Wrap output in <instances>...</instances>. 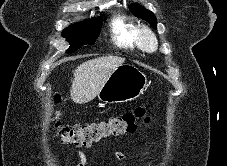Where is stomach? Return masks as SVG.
I'll return each instance as SVG.
<instances>
[{"mask_svg":"<svg viewBox=\"0 0 227 166\" xmlns=\"http://www.w3.org/2000/svg\"><path fill=\"white\" fill-rule=\"evenodd\" d=\"M147 86V77L139 68L122 64L113 71L97 97L106 104L128 102L140 97Z\"/></svg>","mask_w":227,"mask_h":166,"instance_id":"0dacf381","label":"stomach"}]
</instances>
